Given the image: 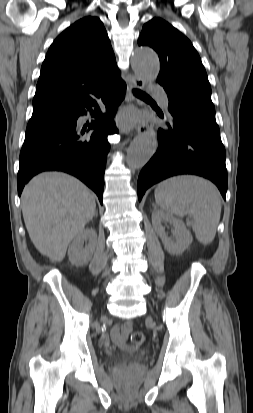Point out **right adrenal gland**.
Returning <instances> with one entry per match:
<instances>
[{
    "label": "right adrenal gland",
    "instance_id": "obj_1",
    "mask_svg": "<svg viewBox=\"0 0 253 413\" xmlns=\"http://www.w3.org/2000/svg\"><path fill=\"white\" fill-rule=\"evenodd\" d=\"M95 216H96V217L98 216V213H97V212L95 213Z\"/></svg>",
    "mask_w": 253,
    "mask_h": 413
}]
</instances>
